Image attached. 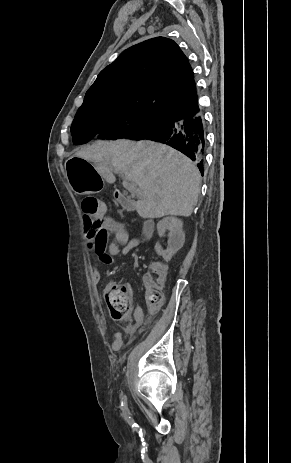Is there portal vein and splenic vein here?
<instances>
[{
    "label": "portal vein and splenic vein",
    "mask_w": 291,
    "mask_h": 463,
    "mask_svg": "<svg viewBox=\"0 0 291 463\" xmlns=\"http://www.w3.org/2000/svg\"><path fill=\"white\" fill-rule=\"evenodd\" d=\"M123 185L124 187L131 193H135L137 195H140V191L139 189L137 188V184L126 179L123 181Z\"/></svg>",
    "instance_id": "1"
}]
</instances>
